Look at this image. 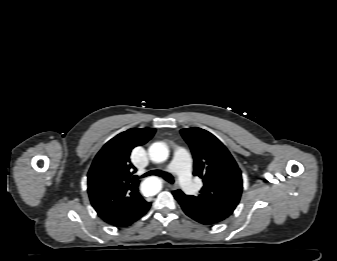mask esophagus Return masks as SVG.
<instances>
[{
  "label": "esophagus",
  "instance_id": "esophagus-1",
  "mask_svg": "<svg viewBox=\"0 0 337 261\" xmlns=\"http://www.w3.org/2000/svg\"><path fill=\"white\" fill-rule=\"evenodd\" d=\"M170 189H175L176 188V185H172V184H168L167 185Z\"/></svg>",
  "mask_w": 337,
  "mask_h": 261
}]
</instances>
